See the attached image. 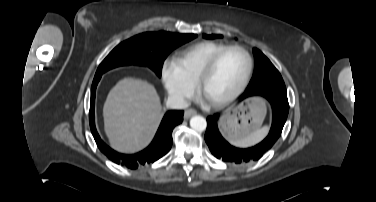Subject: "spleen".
<instances>
[{"instance_id":"spleen-1","label":"spleen","mask_w":376,"mask_h":202,"mask_svg":"<svg viewBox=\"0 0 376 202\" xmlns=\"http://www.w3.org/2000/svg\"><path fill=\"white\" fill-rule=\"evenodd\" d=\"M268 133V127L264 126L256 132L250 134L249 136L242 138L240 140L234 141L233 145L238 147H250L261 142Z\"/></svg>"}]
</instances>
